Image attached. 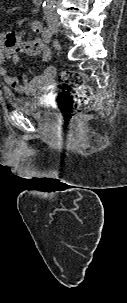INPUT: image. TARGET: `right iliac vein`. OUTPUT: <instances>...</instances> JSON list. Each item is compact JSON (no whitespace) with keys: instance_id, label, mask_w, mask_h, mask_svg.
Returning <instances> with one entry per match:
<instances>
[{"instance_id":"right-iliac-vein-1","label":"right iliac vein","mask_w":127,"mask_h":303,"mask_svg":"<svg viewBox=\"0 0 127 303\" xmlns=\"http://www.w3.org/2000/svg\"><path fill=\"white\" fill-rule=\"evenodd\" d=\"M49 27L51 29V31L54 33V34H58L59 32V24L57 21L55 20H50L49 21Z\"/></svg>"}]
</instances>
